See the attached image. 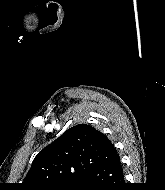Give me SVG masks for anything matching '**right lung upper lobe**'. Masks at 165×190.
I'll use <instances>...</instances> for the list:
<instances>
[{"label": "right lung upper lobe", "mask_w": 165, "mask_h": 190, "mask_svg": "<svg viewBox=\"0 0 165 190\" xmlns=\"http://www.w3.org/2000/svg\"><path fill=\"white\" fill-rule=\"evenodd\" d=\"M116 155L104 134L86 124L76 125L37 154L22 187L49 190L73 184L88 170Z\"/></svg>", "instance_id": "obj_1"}]
</instances>
